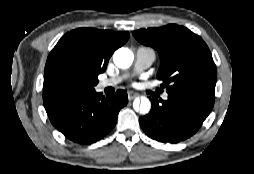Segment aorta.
I'll return each instance as SVG.
<instances>
[{"mask_svg": "<svg viewBox=\"0 0 254 174\" xmlns=\"http://www.w3.org/2000/svg\"><path fill=\"white\" fill-rule=\"evenodd\" d=\"M134 56L130 49L120 48L115 51L113 55V61L115 65L119 68L126 69L129 68L133 62ZM134 109L139 111L141 114L149 113L151 109V102L146 97H141V99H136L133 103Z\"/></svg>", "mask_w": 254, "mask_h": 174, "instance_id": "762f6f07", "label": "aorta"}]
</instances>
